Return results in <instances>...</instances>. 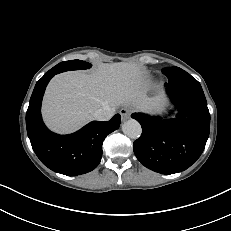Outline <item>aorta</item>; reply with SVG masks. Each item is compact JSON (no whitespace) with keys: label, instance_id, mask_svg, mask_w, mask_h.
<instances>
[{"label":"aorta","instance_id":"obj_1","mask_svg":"<svg viewBox=\"0 0 231 231\" xmlns=\"http://www.w3.org/2000/svg\"><path fill=\"white\" fill-rule=\"evenodd\" d=\"M122 130L125 135L132 139H137L141 136L142 127L135 119H129L122 125Z\"/></svg>","mask_w":231,"mask_h":231}]
</instances>
